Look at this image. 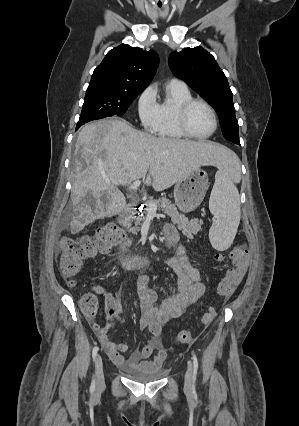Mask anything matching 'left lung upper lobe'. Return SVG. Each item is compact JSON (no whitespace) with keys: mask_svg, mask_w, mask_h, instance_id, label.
Returning a JSON list of instances; mask_svg holds the SVG:
<instances>
[{"mask_svg":"<svg viewBox=\"0 0 299 426\" xmlns=\"http://www.w3.org/2000/svg\"><path fill=\"white\" fill-rule=\"evenodd\" d=\"M173 74L184 80L215 108L223 136L240 145L238 122L227 78L213 55L202 47L185 48L171 53L168 60Z\"/></svg>","mask_w":299,"mask_h":426,"instance_id":"1","label":"left lung upper lobe"}]
</instances>
